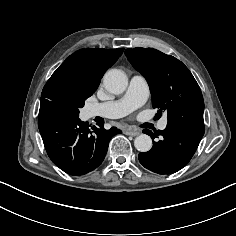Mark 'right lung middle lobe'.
<instances>
[{
    "mask_svg": "<svg viewBox=\"0 0 236 236\" xmlns=\"http://www.w3.org/2000/svg\"><path fill=\"white\" fill-rule=\"evenodd\" d=\"M94 90L72 80L67 76H59L47 82L41 94V103L56 102L79 114L84 101Z\"/></svg>",
    "mask_w": 236,
    "mask_h": 236,
    "instance_id": "obj_1",
    "label": "right lung middle lobe"
}]
</instances>
